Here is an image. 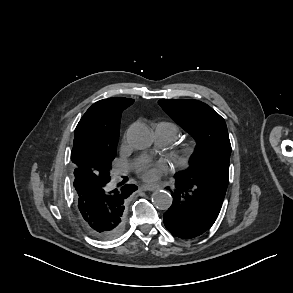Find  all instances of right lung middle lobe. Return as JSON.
I'll use <instances>...</instances> for the list:
<instances>
[{
	"mask_svg": "<svg viewBox=\"0 0 293 293\" xmlns=\"http://www.w3.org/2000/svg\"><path fill=\"white\" fill-rule=\"evenodd\" d=\"M114 158H115V152H108L99 158L93 159V162L95 166L97 167V171H95L94 173L100 176H106V177L110 176L111 164Z\"/></svg>",
	"mask_w": 293,
	"mask_h": 293,
	"instance_id": "1",
	"label": "right lung middle lobe"
}]
</instances>
